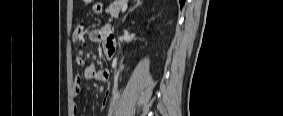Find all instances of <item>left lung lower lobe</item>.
Returning a JSON list of instances; mask_svg holds the SVG:
<instances>
[{"instance_id": "left-lung-lower-lobe-1", "label": "left lung lower lobe", "mask_w": 283, "mask_h": 116, "mask_svg": "<svg viewBox=\"0 0 283 116\" xmlns=\"http://www.w3.org/2000/svg\"><path fill=\"white\" fill-rule=\"evenodd\" d=\"M180 1V5H181V7L183 6V4H184V2H185V0H179Z\"/></svg>"}]
</instances>
